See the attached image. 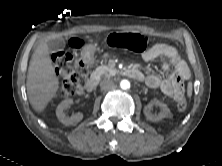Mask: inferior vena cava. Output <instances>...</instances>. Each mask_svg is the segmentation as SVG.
I'll return each instance as SVG.
<instances>
[{
  "instance_id": "obj_1",
  "label": "inferior vena cava",
  "mask_w": 222,
  "mask_h": 166,
  "mask_svg": "<svg viewBox=\"0 0 222 166\" xmlns=\"http://www.w3.org/2000/svg\"><path fill=\"white\" fill-rule=\"evenodd\" d=\"M100 87L102 90L109 91L114 89L116 86L111 79H103L100 83Z\"/></svg>"
}]
</instances>
